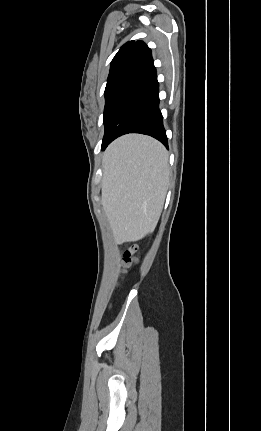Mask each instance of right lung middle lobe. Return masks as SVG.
I'll return each mask as SVG.
<instances>
[{"mask_svg": "<svg viewBox=\"0 0 261 431\" xmlns=\"http://www.w3.org/2000/svg\"><path fill=\"white\" fill-rule=\"evenodd\" d=\"M139 75V72H128L117 78L107 81L105 88V108L103 122L105 125V133L103 137L102 147L109 140L111 127L115 111L119 106L122 98L127 93L128 89Z\"/></svg>", "mask_w": 261, "mask_h": 431, "instance_id": "right-lung-middle-lobe-1", "label": "right lung middle lobe"}]
</instances>
